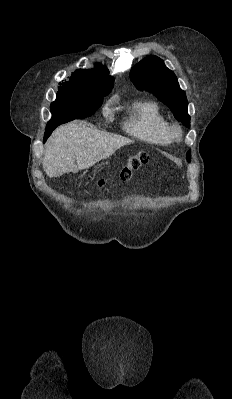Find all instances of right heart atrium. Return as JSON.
Listing matches in <instances>:
<instances>
[{
    "label": "right heart atrium",
    "mask_w": 232,
    "mask_h": 399,
    "mask_svg": "<svg viewBox=\"0 0 232 399\" xmlns=\"http://www.w3.org/2000/svg\"><path fill=\"white\" fill-rule=\"evenodd\" d=\"M102 115L105 119H108L111 115V108L109 106H105L102 109Z\"/></svg>",
    "instance_id": "d8ad5b80"
}]
</instances>
